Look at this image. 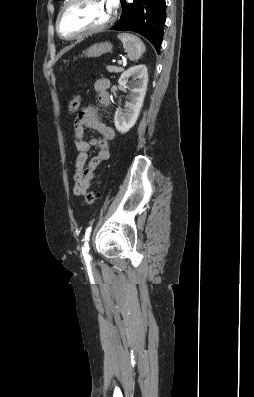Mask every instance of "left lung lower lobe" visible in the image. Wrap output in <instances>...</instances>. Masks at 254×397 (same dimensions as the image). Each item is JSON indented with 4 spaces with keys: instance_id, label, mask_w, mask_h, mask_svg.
Listing matches in <instances>:
<instances>
[{
    "instance_id": "obj_1",
    "label": "left lung lower lobe",
    "mask_w": 254,
    "mask_h": 397,
    "mask_svg": "<svg viewBox=\"0 0 254 397\" xmlns=\"http://www.w3.org/2000/svg\"><path fill=\"white\" fill-rule=\"evenodd\" d=\"M120 1L122 15L111 29L135 31L147 38L159 53L166 20L165 0H134L131 4Z\"/></svg>"
}]
</instances>
